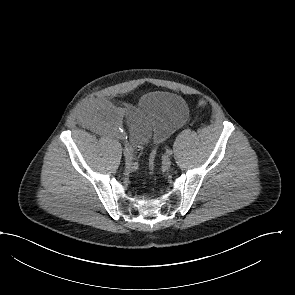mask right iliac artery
Wrapping results in <instances>:
<instances>
[{"instance_id": "1", "label": "right iliac artery", "mask_w": 295, "mask_h": 295, "mask_svg": "<svg viewBox=\"0 0 295 295\" xmlns=\"http://www.w3.org/2000/svg\"><path fill=\"white\" fill-rule=\"evenodd\" d=\"M124 150L130 152L131 154L133 152L132 147L128 143H125V149Z\"/></svg>"}]
</instances>
